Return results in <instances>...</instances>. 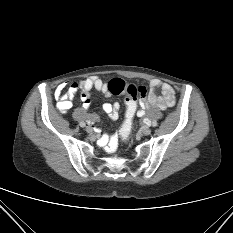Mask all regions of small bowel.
<instances>
[{"mask_svg":"<svg viewBox=\"0 0 233 233\" xmlns=\"http://www.w3.org/2000/svg\"><path fill=\"white\" fill-rule=\"evenodd\" d=\"M66 83L59 84L55 89V99L57 100V108L62 114H66L72 108V100L77 94H80V98L83 102V108L89 109L91 106L90 91L96 89L104 95H110L108 83L104 82L97 76L88 77L80 80L79 82H73L70 84L68 90L63 93ZM150 91L146 99H142L139 102L136 114L142 117L145 114V109L151 106H157L160 108L170 107L175 102V90L174 88L159 79H152L149 82ZM161 91V94H157V90ZM102 112L105 113L111 120H116L119 116L120 105L119 103H105L102 105ZM98 116L92 114L89 117L91 122L97 121ZM117 147V139L111 138L106 146L108 152H113Z\"/></svg>","mask_w":233,"mask_h":233,"instance_id":"obj_1","label":"small bowel"}]
</instances>
